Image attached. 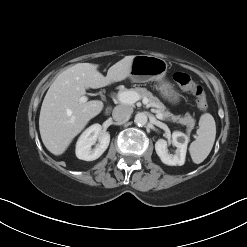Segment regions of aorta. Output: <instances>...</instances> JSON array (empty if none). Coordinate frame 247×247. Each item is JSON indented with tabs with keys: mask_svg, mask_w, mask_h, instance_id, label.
Instances as JSON below:
<instances>
[{
	"mask_svg": "<svg viewBox=\"0 0 247 247\" xmlns=\"http://www.w3.org/2000/svg\"><path fill=\"white\" fill-rule=\"evenodd\" d=\"M147 120V115L143 112L137 113L134 118V122L139 126L146 125Z\"/></svg>",
	"mask_w": 247,
	"mask_h": 247,
	"instance_id": "1",
	"label": "aorta"
}]
</instances>
